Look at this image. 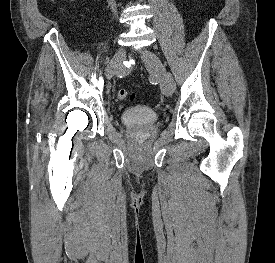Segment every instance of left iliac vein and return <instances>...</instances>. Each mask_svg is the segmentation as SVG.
<instances>
[{"instance_id":"4c4485c4","label":"left iliac vein","mask_w":275,"mask_h":263,"mask_svg":"<svg viewBox=\"0 0 275 263\" xmlns=\"http://www.w3.org/2000/svg\"><path fill=\"white\" fill-rule=\"evenodd\" d=\"M140 55L145 64L146 69L152 75L158 77L162 93L165 96H170L173 93L174 89L166 78V71L162 61L154 52L148 49H142L140 51Z\"/></svg>"}]
</instances>
